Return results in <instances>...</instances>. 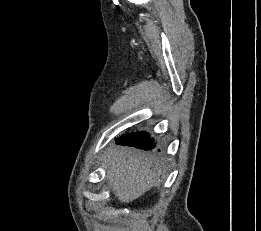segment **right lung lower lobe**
I'll return each mask as SVG.
<instances>
[{"mask_svg":"<svg viewBox=\"0 0 261 231\" xmlns=\"http://www.w3.org/2000/svg\"><path fill=\"white\" fill-rule=\"evenodd\" d=\"M116 144L136 147L143 150H151L155 147L153 139L147 133H129L116 140Z\"/></svg>","mask_w":261,"mask_h":231,"instance_id":"obj_1","label":"right lung lower lobe"}]
</instances>
